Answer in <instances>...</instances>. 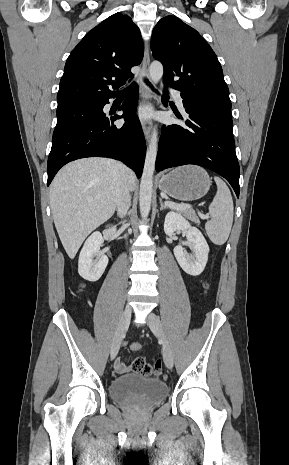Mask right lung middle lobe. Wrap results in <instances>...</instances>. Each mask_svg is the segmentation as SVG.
Segmentation results:
<instances>
[{
	"instance_id": "obj_1",
	"label": "right lung middle lobe",
	"mask_w": 289,
	"mask_h": 465,
	"mask_svg": "<svg viewBox=\"0 0 289 465\" xmlns=\"http://www.w3.org/2000/svg\"><path fill=\"white\" fill-rule=\"evenodd\" d=\"M103 103L104 100H78L58 104L57 125L53 137L103 115Z\"/></svg>"
}]
</instances>
